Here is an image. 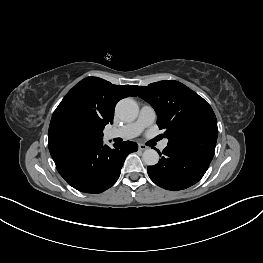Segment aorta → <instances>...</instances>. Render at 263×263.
Masks as SVG:
<instances>
[{
	"mask_svg": "<svg viewBox=\"0 0 263 263\" xmlns=\"http://www.w3.org/2000/svg\"><path fill=\"white\" fill-rule=\"evenodd\" d=\"M139 108L131 98L120 100L116 105V114L124 121H133L137 118ZM143 162L148 166L156 165L159 161V154L154 149H147L143 153Z\"/></svg>",
	"mask_w": 263,
	"mask_h": 263,
	"instance_id": "762f6f07",
	"label": "aorta"
}]
</instances>
